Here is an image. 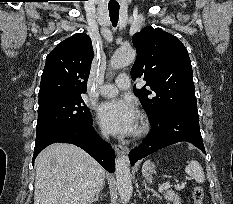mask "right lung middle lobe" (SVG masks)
Listing matches in <instances>:
<instances>
[{"label":"right lung middle lobe","instance_id":"1","mask_svg":"<svg viewBox=\"0 0 233 204\" xmlns=\"http://www.w3.org/2000/svg\"><path fill=\"white\" fill-rule=\"evenodd\" d=\"M38 103L35 142L55 133L92 122L90 111L84 104L81 95L53 97L38 101Z\"/></svg>","mask_w":233,"mask_h":204}]
</instances>
